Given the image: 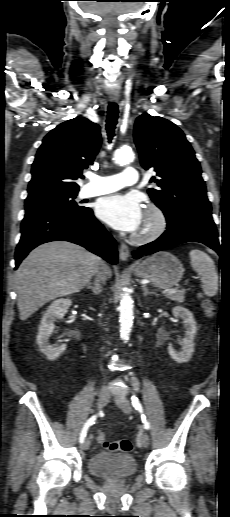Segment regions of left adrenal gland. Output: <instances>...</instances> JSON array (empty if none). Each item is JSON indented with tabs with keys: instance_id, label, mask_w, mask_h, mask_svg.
<instances>
[{
	"instance_id": "left-adrenal-gland-1",
	"label": "left adrenal gland",
	"mask_w": 230,
	"mask_h": 517,
	"mask_svg": "<svg viewBox=\"0 0 230 517\" xmlns=\"http://www.w3.org/2000/svg\"><path fill=\"white\" fill-rule=\"evenodd\" d=\"M142 289H143V291H144V293H143L144 297H146V296H148V295L155 294L154 292H150V291L148 290V288H147L145 285H143V286H142Z\"/></svg>"
}]
</instances>
